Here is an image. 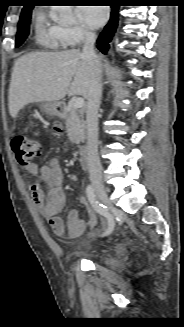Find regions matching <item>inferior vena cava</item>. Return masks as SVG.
<instances>
[{"label":"inferior vena cava","mask_w":184,"mask_h":327,"mask_svg":"<svg viewBox=\"0 0 184 327\" xmlns=\"http://www.w3.org/2000/svg\"><path fill=\"white\" fill-rule=\"evenodd\" d=\"M96 34L91 31L85 32L83 44V57L91 67L92 79L86 109L87 124V161L92 182H101L102 167L98 155V109L101 103L102 84L100 77V63L94 51Z\"/></svg>","instance_id":"602c4592"}]
</instances>
